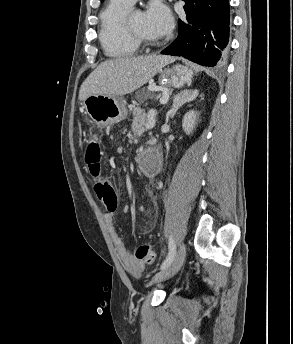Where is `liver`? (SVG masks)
Here are the masks:
<instances>
[{"mask_svg": "<svg viewBox=\"0 0 293 344\" xmlns=\"http://www.w3.org/2000/svg\"><path fill=\"white\" fill-rule=\"evenodd\" d=\"M174 58L166 55L122 57L102 62L83 82L79 99L91 95L123 96L146 84Z\"/></svg>", "mask_w": 293, "mask_h": 344, "instance_id": "liver-1", "label": "liver"}]
</instances>
